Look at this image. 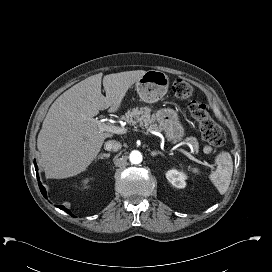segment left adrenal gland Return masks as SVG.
Wrapping results in <instances>:
<instances>
[{"instance_id":"left-adrenal-gland-1","label":"left adrenal gland","mask_w":272,"mask_h":272,"mask_svg":"<svg viewBox=\"0 0 272 272\" xmlns=\"http://www.w3.org/2000/svg\"><path fill=\"white\" fill-rule=\"evenodd\" d=\"M151 156H156V155H162L163 156V153H161L160 151H151Z\"/></svg>"}]
</instances>
